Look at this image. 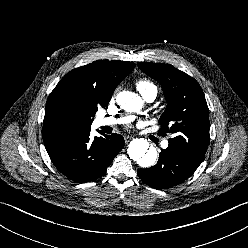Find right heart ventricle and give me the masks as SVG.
<instances>
[{
    "instance_id": "obj_1",
    "label": "right heart ventricle",
    "mask_w": 248,
    "mask_h": 248,
    "mask_svg": "<svg viewBox=\"0 0 248 248\" xmlns=\"http://www.w3.org/2000/svg\"><path fill=\"white\" fill-rule=\"evenodd\" d=\"M136 88L141 93V95H144L149 90L156 88L155 85L150 82L147 79H140L136 82Z\"/></svg>"
}]
</instances>
